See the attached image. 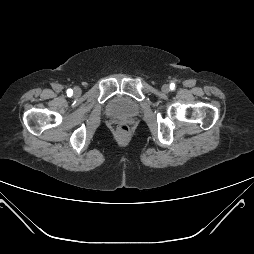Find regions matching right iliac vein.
I'll return each mask as SVG.
<instances>
[{
	"label": "right iliac vein",
	"mask_w": 254,
	"mask_h": 254,
	"mask_svg": "<svg viewBox=\"0 0 254 254\" xmlns=\"http://www.w3.org/2000/svg\"><path fill=\"white\" fill-rule=\"evenodd\" d=\"M80 93H81L80 88L75 87V88H74V95H75V96H78V95H80Z\"/></svg>",
	"instance_id": "63e3f726"
}]
</instances>
